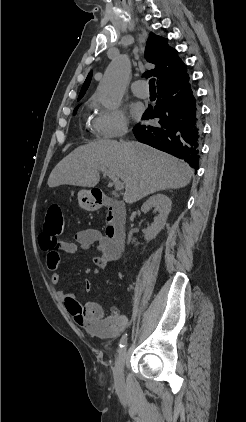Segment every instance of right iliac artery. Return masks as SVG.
Wrapping results in <instances>:
<instances>
[{"mask_svg": "<svg viewBox=\"0 0 246 422\" xmlns=\"http://www.w3.org/2000/svg\"><path fill=\"white\" fill-rule=\"evenodd\" d=\"M126 342H127V334H124V335L122 336V338L120 339V342H119V347H120V348L124 347V346H125V344H126Z\"/></svg>", "mask_w": 246, "mask_h": 422, "instance_id": "82829eb1", "label": "right iliac artery"}]
</instances>
